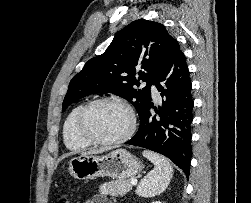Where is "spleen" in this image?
<instances>
[{"label":"spleen","mask_w":251,"mask_h":203,"mask_svg":"<svg viewBox=\"0 0 251 203\" xmlns=\"http://www.w3.org/2000/svg\"><path fill=\"white\" fill-rule=\"evenodd\" d=\"M142 154L154 164V169L141 180L136 193L144 198L154 197L168 187L173 176V168L170 162L160 154L150 150H144Z\"/></svg>","instance_id":"obj_1"}]
</instances>
